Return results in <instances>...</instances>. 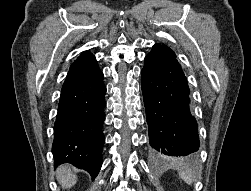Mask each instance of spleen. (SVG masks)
Masks as SVG:
<instances>
[{
	"label": "spleen",
	"mask_w": 251,
	"mask_h": 191,
	"mask_svg": "<svg viewBox=\"0 0 251 191\" xmlns=\"http://www.w3.org/2000/svg\"><path fill=\"white\" fill-rule=\"evenodd\" d=\"M179 175L180 177H182V179H184V181H186V183H192L193 181L192 171H188V169H186V171H179Z\"/></svg>",
	"instance_id": "1"
}]
</instances>
